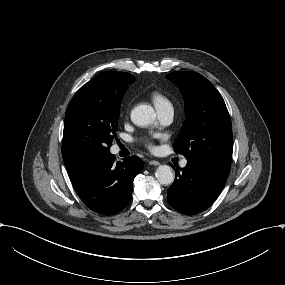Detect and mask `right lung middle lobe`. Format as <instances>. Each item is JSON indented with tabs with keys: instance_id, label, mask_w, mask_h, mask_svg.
I'll list each match as a JSON object with an SVG mask.
<instances>
[{
	"instance_id": "dd1d6c3e",
	"label": "right lung middle lobe",
	"mask_w": 285,
	"mask_h": 285,
	"mask_svg": "<svg viewBox=\"0 0 285 285\" xmlns=\"http://www.w3.org/2000/svg\"><path fill=\"white\" fill-rule=\"evenodd\" d=\"M125 89L98 97L75 95L65 116L63 158H104L117 140V121Z\"/></svg>"
}]
</instances>
